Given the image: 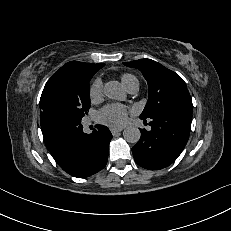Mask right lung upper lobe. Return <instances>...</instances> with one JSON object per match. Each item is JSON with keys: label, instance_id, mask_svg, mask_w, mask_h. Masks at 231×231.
Here are the masks:
<instances>
[{"label": "right lung upper lobe", "instance_id": "cb5924a9", "mask_svg": "<svg viewBox=\"0 0 231 231\" xmlns=\"http://www.w3.org/2000/svg\"><path fill=\"white\" fill-rule=\"evenodd\" d=\"M104 64H91L71 61L62 66L57 72L96 73Z\"/></svg>", "mask_w": 231, "mask_h": 231}]
</instances>
